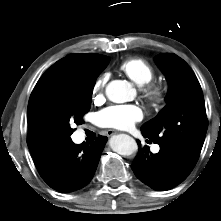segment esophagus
Masks as SVG:
<instances>
[{"label":"esophagus","instance_id":"obj_1","mask_svg":"<svg viewBox=\"0 0 221 221\" xmlns=\"http://www.w3.org/2000/svg\"><path fill=\"white\" fill-rule=\"evenodd\" d=\"M105 133L107 136H112L114 134V130L109 129V130H106Z\"/></svg>","mask_w":221,"mask_h":221}]
</instances>
